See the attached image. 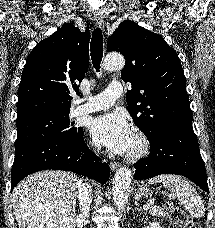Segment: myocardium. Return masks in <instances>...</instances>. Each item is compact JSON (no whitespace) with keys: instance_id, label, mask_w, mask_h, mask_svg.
Masks as SVG:
<instances>
[{"instance_id":"f54148a6","label":"myocardium","mask_w":215,"mask_h":228,"mask_svg":"<svg viewBox=\"0 0 215 228\" xmlns=\"http://www.w3.org/2000/svg\"><path fill=\"white\" fill-rule=\"evenodd\" d=\"M135 146L126 154V160L130 162L138 161L143 158L150 149L148 137L142 131L134 134Z\"/></svg>"}]
</instances>
